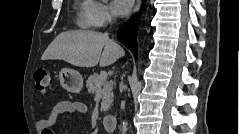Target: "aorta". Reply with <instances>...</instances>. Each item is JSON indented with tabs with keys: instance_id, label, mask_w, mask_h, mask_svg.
I'll use <instances>...</instances> for the list:
<instances>
[{
	"instance_id": "762f6f07",
	"label": "aorta",
	"mask_w": 239,
	"mask_h": 134,
	"mask_svg": "<svg viewBox=\"0 0 239 134\" xmlns=\"http://www.w3.org/2000/svg\"><path fill=\"white\" fill-rule=\"evenodd\" d=\"M127 126H128V122L127 121H123L122 122V126H121V131H122L123 134L126 133Z\"/></svg>"
}]
</instances>
